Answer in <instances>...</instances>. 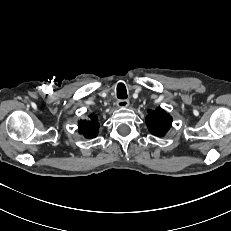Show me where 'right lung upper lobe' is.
I'll use <instances>...</instances> for the list:
<instances>
[{"label":"right lung upper lobe","mask_w":231,"mask_h":231,"mask_svg":"<svg viewBox=\"0 0 231 231\" xmlns=\"http://www.w3.org/2000/svg\"><path fill=\"white\" fill-rule=\"evenodd\" d=\"M78 127L79 133L83 134L86 138L96 137L99 129L97 117L94 114H91L88 120H81Z\"/></svg>","instance_id":"right-lung-upper-lobe-1"}]
</instances>
